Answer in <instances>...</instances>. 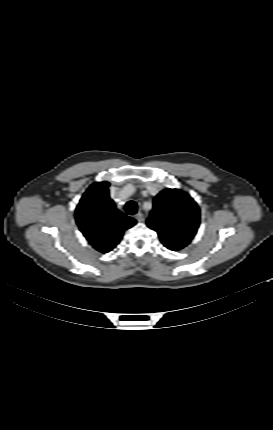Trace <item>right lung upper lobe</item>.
<instances>
[{
  "label": "right lung upper lobe",
  "instance_id": "1",
  "mask_svg": "<svg viewBox=\"0 0 273 430\" xmlns=\"http://www.w3.org/2000/svg\"><path fill=\"white\" fill-rule=\"evenodd\" d=\"M108 182L93 183L75 210L79 229L96 250L107 253L121 240L126 229L136 224L116 209L108 193Z\"/></svg>",
  "mask_w": 273,
  "mask_h": 430
}]
</instances>
